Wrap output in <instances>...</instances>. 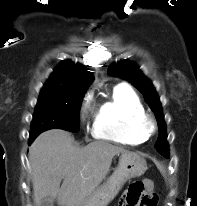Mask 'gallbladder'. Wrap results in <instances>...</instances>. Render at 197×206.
<instances>
[{
	"instance_id": "1",
	"label": "gallbladder",
	"mask_w": 197,
	"mask_h": 206,
	"mask_svg": "<svg viewBox=\"0 0 197 206\" xmlns=\"http://www.w3.org/2000/svg\"><path fill=\"white\" fill-rule=\"evenodd\" d=\"M41 206H53V200L45 199V200L41 203Z\"/></svg>"
}]
</instances>
